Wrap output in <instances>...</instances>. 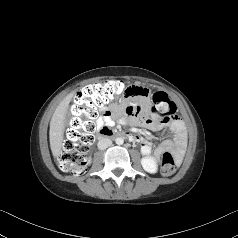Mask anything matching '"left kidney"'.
<instances>
[{"mask_svg":"<svg viewBox=\"0 0 238 238\" xmlns=\"http://www.w3.org/2000/svg\"><path fill=\"white\" fill-rule=\"evenodd\" d=\"M141 164L142 167L145 171H147L148 173H156L157 172V163L155 161V159L151 156L148 157H144L141 159Z\"/></svg>","mask_w":238,"mask_h":238,"instance_id":"5707ae66","label":"left kidney"}]
</instances>
